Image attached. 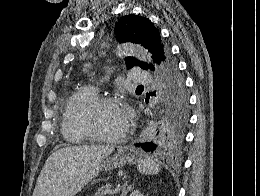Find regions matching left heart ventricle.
<instances>
[{"label":"left heart ventricle","mask_w":260,"mask_h":196,"mask_svg":"<svg viewBox=\"0 0 260 196\" xmlns=\"http://www.w3.org/2000/svg\"><path fill=\"white\" fill-rule=\"evenodd\" d=\"M74 112L77 113L79 121L85 115V110L74 109ZM93 123L95 129L101 133L117 135L127 124L125 107L119 104L106 105L97 111Z\"/></svg>","instance_id":"left-heart-ventricle-1"}]
</instances>
